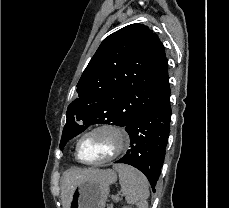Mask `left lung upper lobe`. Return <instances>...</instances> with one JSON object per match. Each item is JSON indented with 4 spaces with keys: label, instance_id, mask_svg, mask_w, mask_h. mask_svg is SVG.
<instances>
[{
    "label": "left lung upper lobe",
    "instance_id": "5c2ea615",
    "mask_svg": "<svg viewBox=\"0 0 229 208\" xmlns=\"http://www.w3.org/2000/svg\"><path fill=\"white\" fill-rule=\"evenodd\" d=\"M169 88L162 42L143 24H131L101 43L67 110L60 149L92 124L127 127Z\"/></svg>",
    "mask_w": 229,
    "mask_h": 208
}]
</instances>
